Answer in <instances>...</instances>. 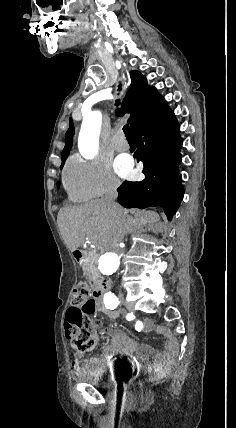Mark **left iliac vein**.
Listing matches in <instances>:
<instances>
[{
  "mask_svg": "<svg viewBox=\"0 0 236 428\" xmlns=\"http://www.w3.org/2000/svg\"><path fill=\"white\" fill-rule=\"evenodd\" d=\"M118 296H119V299L122 301V300H123L124 293H123V292H119V293H118Z\"/></svg>",
  "mask_w": 236,
  "mask_h": 428,
  "instance_id": "4c4485c4",
  "label": "left iliac vein"
}]
</instances>
